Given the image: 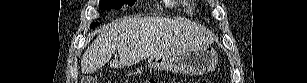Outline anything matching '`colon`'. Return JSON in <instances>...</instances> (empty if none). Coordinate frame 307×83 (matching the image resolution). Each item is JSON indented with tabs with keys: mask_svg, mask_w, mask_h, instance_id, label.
<instances>
[{
	"mask_svg": "<svg viewBox=\"0 0 307 83\" xmlns=\"http://www.w3.org/2000/svg\"><path fill=\"white\" fill-rule=\"evenodd\" d=\"M201 82H202V83H209L210 80H208V79H203ZM151 83H154V81H152Z\"/></svg>",
	"mask_w": 307,
	"mask_h": 83,
	"instance_id": "obj_1",
	"label": "colon"
}]
</instances>
